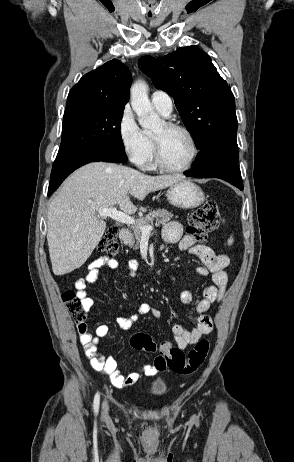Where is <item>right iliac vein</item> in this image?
Returning a JSON list of instances; mask_svg holds the SVG:
<instances>
[{
	"instance_id": "63e3f726",
	"label": "right iliac vein",
	"mask_w": 294,
	"mask_h": 462,
	"mask_svg": "<svg viewBox=\"0 0 294 462\" xmlns=\"http://www.w3.org/2000/svg\"><path fill=\"white\" fill-rule=\"evenodd\" d=\"M102 414L104 418L108 416V404L106 400L102 404Z\"/></svg>"
}]
</instances>
